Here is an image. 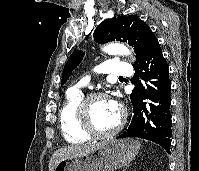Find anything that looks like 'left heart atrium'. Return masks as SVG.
I'll list each match as a JSON object with an SVG mask.
<instances>
[{
    "instance_id": "1",
    "label": "left heart atrium",
    "mask_w": 199,
    "mask_h": 171,
    "mask_svg": "<svg viewBox=\"0 0 199 171\" xmlns=\"http://www.w3.org/2000/svg\"><path fill=\"white\" fill-rule=\"evenodd\" d=\"M109 105L111 107V109H113L114 111H118L119 110V104L116 100L114 99H109Z\"/></svg>"
}]
</instances>
